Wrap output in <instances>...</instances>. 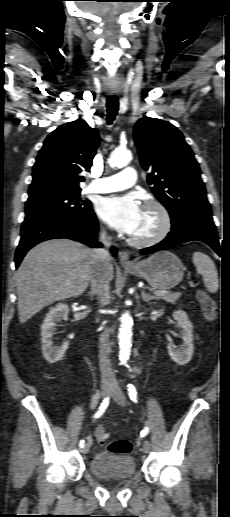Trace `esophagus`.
Listing matches in <instances>:
<instances>
[{
  "instance_id": "obj_1",
  "label": "esophagus",
  "mask_w": 230,
  "mask_h": 517,
  "mask_svg": "<svg viewBox=\"0 0 230 517\" xmlns=\"http://www.w3.org/2000/svg\"><path fill=\"white\" fill-rule=\"evenodd\" d=\"M119 262L123 266H132L134 263L130 261L129 253L127 251H122L119 254Z\"/></svg>"
}]
</instances>
